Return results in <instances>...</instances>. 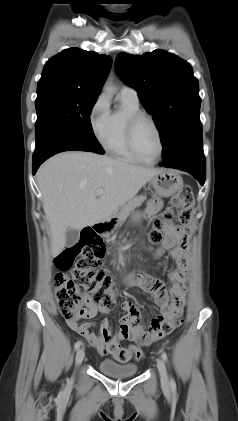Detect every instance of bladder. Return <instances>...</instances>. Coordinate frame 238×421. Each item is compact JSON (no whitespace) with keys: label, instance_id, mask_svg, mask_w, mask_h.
<instances>
[{"label":"bladder","instance_id":"31cf9c89","mask_svg":"<svg viewBox=\"0 0 238 421\" xmlns=\"http://www.w3.org/2000/svg\"><path fill=\"white\" fill-rule=\"evenodd\" d=\"M98 369L105 375L113 378H129L138 372V366L133 363L121 364L112 359H103L98 362Z\"/></svg>","mask_w":238,"mask_h":421}]
</instances>
